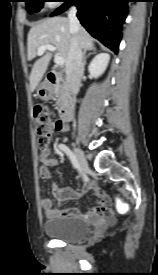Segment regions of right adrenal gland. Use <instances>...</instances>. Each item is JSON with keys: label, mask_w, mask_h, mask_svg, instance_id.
Masks as SVG:
<instances>
[{"label": "right adrenal gland", "mask_w": 158, "mask_h": 275, "mask_svg": "<svg viewBox=\"0 0 158 275\" xmlns=\"http://www.w3.org/2000/svg\"><path fill=\"white\" fill-rule=\"evenodd\" d=\"M91 51H92V52H90L88 55H86L87 51L84 50V52H83V64H84V65H86V59H87V57H88L89 55H91V54H95V49H94V48L91 49Z\"/></svg>", "instance_id": "right-adrenal-gland-1"}]
</instances>
